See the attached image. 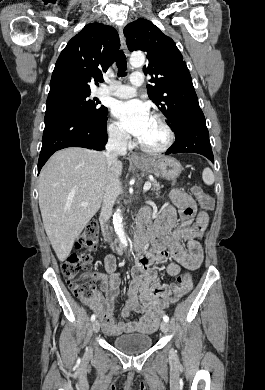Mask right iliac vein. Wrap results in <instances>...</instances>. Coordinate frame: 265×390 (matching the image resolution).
I'll list each match as a JSON object with an SVG mask.
<instances>
[{
	"mask_svg": "<svg viewBox=\"0 0 265 390\" xmlns=\"http://www.w3.org/2000/svg\"><path fill=\"white\" fill-rule=\"evenodd\" d=\"M99 328H100V323H99L98 320H95V321L93 322V325H92V330H93V332H94V333H97V332L99 331ZM91 352H92V348L90 347V348L88 349V354H90Z\"/></svg>",
	"mask_w": 265,
	"mask_h": 390,
	"instance_id": "63e3f726",
	"label": "right iliac vein"
}]
</instances>
